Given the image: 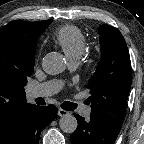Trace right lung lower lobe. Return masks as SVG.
<instances>
[{
    "label": "right lung lower lobe",
    "instance_id": "1",
    "mask_svg": "<svg viewBox=\"0 0 144 144\" xmlns=\"http://www.w3.org/2000/svg\"><path fill=\"white\" fill-rule=\"evenodd\" d=\"M54 105L27 107L11 130L0 139V144H39L42 130L57 116Z\"/></svg>",
    "mask_w": 144,
    "mask_h": 144
}]
</instances>
